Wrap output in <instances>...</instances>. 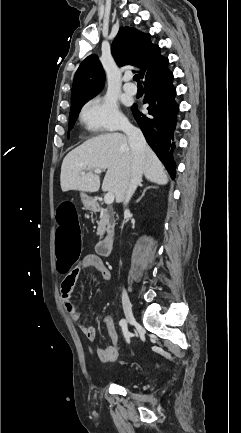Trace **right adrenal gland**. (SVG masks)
Segmentation results:
<instances>
[{
    "label": "right adrenal gland",
    "instance_id": "1",
    "mask_svg": "<svg viewBox=\"0 0 241 433\" xmlns=\"http://www.w3.org/2000/svg\"><path fill=\"white\" fill-rule=\"evenodd\" d=\"M150 188H157V187H156V186H148V187H146V188L143 190L141 196L139 197V199H138L136 202H139V201L144 197L146 191H147L148 189H150Z\"/></svg>",
    "mask_w": 241,
    "mask_h": 433
}]
</instances>
